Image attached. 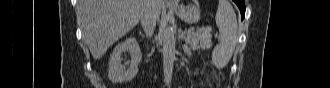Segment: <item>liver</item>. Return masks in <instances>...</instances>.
Listing matches in <instances>:
<instances>
[{"mask_svg": "<svg viewBox=\"0 0 330 88\" xmlns=\"http://www.w3.org/2000/svg\"><path fill=\"white\" fill-rule=\"evenodd\" d=\"M146 5L147 0H79L82 37L94 59L138 24ZM162 6V0H156L158 17Z\"/></svg>", "mask_w": 330, "mask_h": 88, "instance_id": "liver-1", "label": "liver"}]
</instances>
